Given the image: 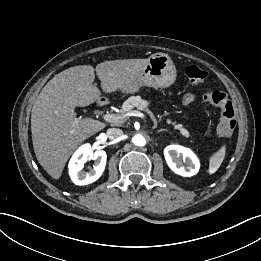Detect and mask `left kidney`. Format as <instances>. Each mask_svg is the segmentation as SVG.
Listing matches in <instances>:
<instances>
[{"label":"left kidney","mask_w":261,"mask_h":261,"mask_svg":"<svg viewBox=\"0 0 261 261\" xmlns=\"http://www.w3.org/2000/svg\"><path fill=\"white\" fill-rule=\"evenodd\" d=\"M164 156L170 169L178 175L190 177L199 171L200 162L189 148L169 145L164 149Z\"/></svg>","instance_id":"5707ae66"}]
</instances>
